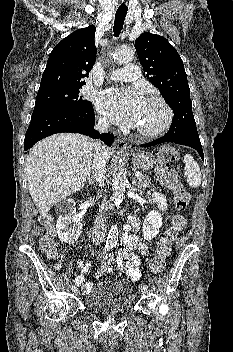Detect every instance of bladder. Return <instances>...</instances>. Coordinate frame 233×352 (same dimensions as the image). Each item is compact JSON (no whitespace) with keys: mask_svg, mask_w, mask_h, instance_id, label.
Masks as SVG:
<instances>
[{"mask_svg":"<svg viewBox=\"0 0 233 352\" xmlns=\"http://www.w3.org/2000/svg\"><path fill=\"white\" fill-rule=\"evenodd\" d=\"M133 302L132 290L121 282L96 283L85 295L86 307L97 313H123L132 308Z\"/></svg>","mask_w":233,"mask_h":352,"instance_id":"31cf9c89","label":"bladder"}]
</instances>
